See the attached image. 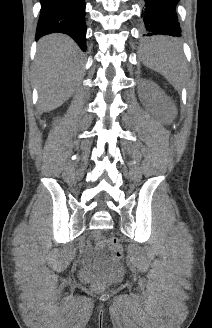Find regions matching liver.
I'll return each instance as SVG.
<instances>
[{"label":"liver","instance_id":"obj_1","mask_svg":"<svg viewBox=\"0 0 212 328\" xmlns=\"http://www.w3.org/2000/svg\"><path fill=\"white\" fill-rule=\"evenodd\" d=\"M79 49L63 34H53L39 41L35 78L42 112L62 105L74 92L81 77Z\"/></svg>","mask_w":212,"mask_h":328}]
</instances>
